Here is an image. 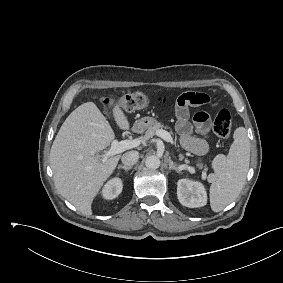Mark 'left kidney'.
<instances>
[{"label": "left kidney", "instance_id": "5707ae66", "mask_svg": "<svg viewBox=\"0 0 283 283\" xmlns=\"http://www.w3.org/2000/svg\"><path fill=\"white\" fill-rule=\"evenodd\" d=\"M177 196L179 202L189 208L201 207L207 203L205 187L198 181L180 179L177 183Z\"/></svg>", "mask_w": 283, "mask_h": 283}]
</instances>
